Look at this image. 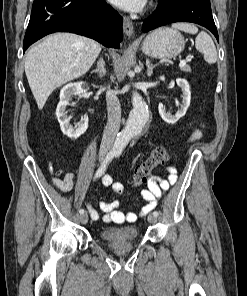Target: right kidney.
Masks as SVG:
<instances>
[{
  "label": "right kidney",
  "instance_id": "obj_1",
  "mask_svg": "<svg viewBox=\"0 0 247 296\" xmlns=\"http://www.w3.org/2000/svg\"><path fill=\"white\" fill-rule=\"evenodd\" d=\"M86 90L84 82H77L65 85L60 91V101L56 108V116L58 118L61 131L70 139H77L84 134L88 128V116L85 115L82 117L81 121L75 127H72L67 116L68 111L66 110V107L70 105V101L73 96H80Z\"/></svg>",
  "mask_w": 247,
  "mask_h": 296
}]
</instances>
